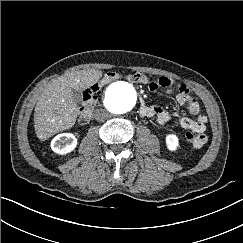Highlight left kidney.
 <instances>
[{
	"instance_id": "obj_1",
	"label": "left kidney",
	"mask_w": 243,
	"mask_h": 243,
	"mask_svg": "<svg viewBox=\"0 0 243 243\" xmlns=\"http://www.w3.org/2000/svg\"><path fill=\"white\" fill-rule=\"evenodd\" d=\"M167 148L171 151H175L179 146V139L175 134H169L166 136Z\"/></svg>"
}]
</instances>
